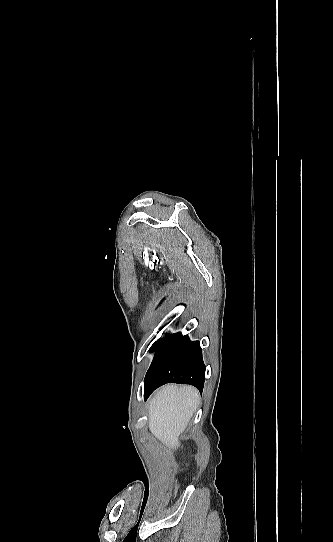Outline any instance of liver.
Here are the masks:
<instances>
[{"mask_svg": "<svg viewBox=\"0 0 333 542\" xmlns=\"http://www.w3.org/2000/svg\"><path fill=\"white\" fill-rule=\"evenodd\" d=\"M199 402V394L192 386H164L149 406V430L167 448H179L183 434Z\"/></svg>", "mask_w": 333, "mask_h": 542, "instance_id": "obj_1", "label": "liver"}]
</instances>
